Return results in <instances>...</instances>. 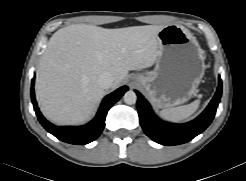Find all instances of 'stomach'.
Listing matches in <instances>:
<instances>
[{
	"instance_id": "0dacf381",
	"label": "stomach",
	"mask_w": 246,
	"mask_h": 181,
	"mask_svg": "<svg viewBox=\"0 0 246 181\" xmlns=\"http://www.w3.org/2000/svg\"><path fill=\"white\" fill-rule=\"evenodd\" d=\"M158 57L152 71L134 75L157 108L187 102L205 72V56L196 38L182 25L165 26L158 33Z\"/></svg>"
}]
</instances>
